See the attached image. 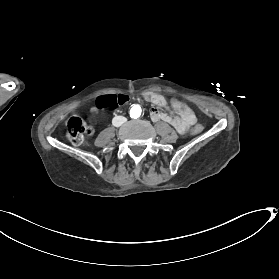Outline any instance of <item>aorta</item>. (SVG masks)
<instances>
[{
	"instance_id": "obj_1",
	"label": "aorta",
	"mask_w": 279,
	"mask_h": 279,
	"mask_svg": "<svg viewBox=\"0 0 279 279\" xmlns=\"http://www.w3.org/2000/svg\"><path fill=\"white\" fill-rule=\"evenodd\" d=\"M141 113H142V109H141V107L139 105H134L130 109V116H131V118L136 119V118L140 117Z\"/></svg>"
}]
</instances>
